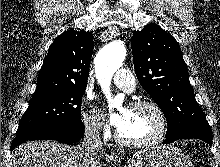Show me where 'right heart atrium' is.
Listing matches in <instances>:
<instances>
[{"instance_id": "right-heart-atrium-1", "label": "right heart atrium", "mask_w": 220, "mask_h": 167, "mask_svg": "<svg viewBox=\"0 0 220 167\" xmlns=\"http://www.w3.org/2000/svg\"><path fill=\"white\" fill-rule=\"evenodd\" d=\"M82 123L85 132L90 136L106 137L109 133L102 113L88 98H85L82 104Z\"/></svg>"}]
</instances>
